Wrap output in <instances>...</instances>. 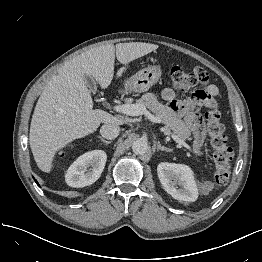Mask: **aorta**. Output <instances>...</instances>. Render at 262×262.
Listing matches in <instances>:
<instances>
[{
	"label": "aorta",
	"mask_w": 262,
	"mask_h": 262,
	"mask_svg": "<svg viewBox=\"0 0 262 262\" xmlns=\"http://www.w3.org/2000/svg\"><path fill=\"white\" fill-rule=\"evenodd\" d=\"M147 150H148V143H147L146 140L138 139V140L133 142L132 151L136 155H143L147 152Z\"/></svg>",
	"instance_id": "1"
}]
</instances>
